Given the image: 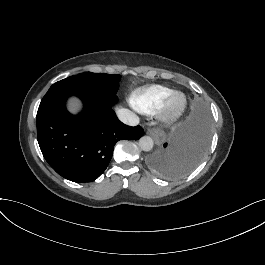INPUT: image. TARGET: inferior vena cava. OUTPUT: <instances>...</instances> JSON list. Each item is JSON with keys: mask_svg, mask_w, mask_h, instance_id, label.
I'll list each match as a JSON object with an SVG mask.
<instances>
[{"mask_svg": "<svg viewBox=\"0 0 265 265\" xmlns=\"http://www.w3.org/2000/svg\"><path fill=\"white\" fill-rule=\"evenodd\" d=\"M118 119L130 126L139 124V117L129 109L121 108L116 111Z\"/></svg>", "mask_w": 265, "mask_h": 265, "instance_id": "obj_1", "label": "inferior vena cava"}]
</instances>
